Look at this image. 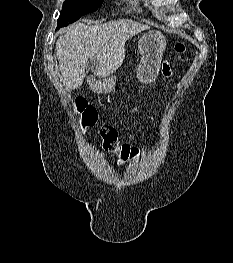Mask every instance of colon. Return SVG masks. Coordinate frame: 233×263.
Wrapping results in <instances>:
<instances>
[{
  "instance_id": "obj_1",
  "label": "colon",
  "mask_w": 233,
  "mask_h": 263,
  "mask_svg": "<svg viewBox=\"0 0 233 263\" xmlns=\"http://www.w3.org/2000/svg\"><path fill=\"white\" fill-rule=\"evenodd\" d=\"M175 50L178 53L185 51L183 43H177ZM77 110L81 114L83 124L87 127H93L97 122V111L93 106L88 105L84 100L77 102ZM102 139V146L107 152L115 154L120 162H127L139 154V150L129 144L120 143L117 131L110 126H103L99 129Z\"/></svg>"
}]
</instances>
